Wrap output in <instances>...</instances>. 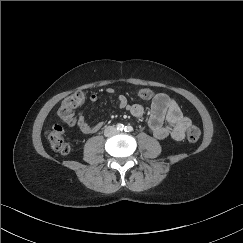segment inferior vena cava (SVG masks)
I'll list each match as a JSON object with an SVG mask.
<instances>
[{
	"mask_svg": "<svg viewBox=\"0 0 243 243\" xmlns=\"http://www.w3.org/2000/svg\"><path fill=\"white\" fill-rule=\"evenodd\" d=\"M116 133V128L114 126H108L104 130L105 136H111Z\"/></svg>",
	"mask_w": 243,
	"mask_h": 243,
	"instance_id": "obj_1",
	"label": "inferior vena cava"
}]
</instances>
